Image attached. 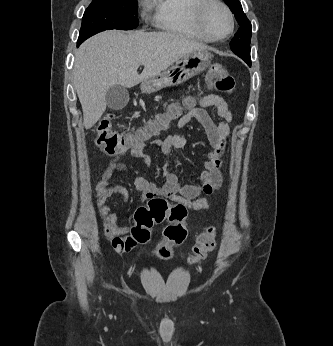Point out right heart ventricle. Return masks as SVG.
<instances>
[{
	"instance_id": "obj_1",
	"label": "right heart ventricle",
	"mask_w": 333,
	"mask_h": 346,
	"mask_svg": "<svg viewBox=\"0 0 333 346\" xmlns=\"http://www.w3.org/2000/svg\"><path fill=\"white\" fill-rule=\"evenodd\" d=\"M153 6V19L162 30L173 32L191 40L207 43L196 20V8L201 0H148Z\"/></svg>"
}]
</instances>
